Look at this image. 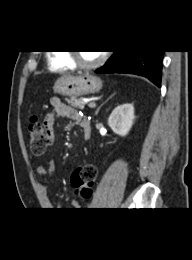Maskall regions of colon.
<instances>
[{
  "instance_id": "obj_1",
  "label": "colon",
  "mask_w": 192,
  "mask_h": 260,
  "mask_svg": "<svg viewBox=\"0 0 192 260\" xmlns=\"http://www.w3.org/2000/svg\"><path fill=\"white\" fill-rule=\"evenodd\" d=\"M30 149L35 156L43 155L51 144V137L37 116H32L28 125ZM97 177V169L92 164H84L75 169L71 183L76 194L82 198L90 197Z\"/></svg>"
}]
</instances>
